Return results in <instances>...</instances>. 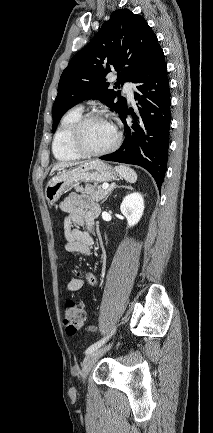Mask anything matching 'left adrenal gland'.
<instances>
[{
	"instance_id": "1",
	"label": "left adrenal gland",
	"mask_w": 213,
	"mask_h": 433,
	"mask_svg": "<svg viewBox=\"0 0 213 433\" xmlns=\"http://www.w3.org/2000/svg\"><path fill=\"white\" fill-rule=\"evenodd\" d=\"M118 186H114V187H112L111 189H110V192L108 193V195L105 197V199L102 201V203H104L106 200H107V198L111 195V193H112V191L115 189V188H117ZM122 188H129V187H127V186H122Z\"/></svg>"
}]
</instances>
